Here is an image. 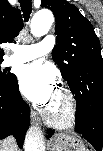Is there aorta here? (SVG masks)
Listing matches in <instances>:
<instances>
[{"mask_svg":"<svg viewBox=\"0 0 103 151\" xmlns=\"http://www.w3.org/2000/svg\"><path fill=\"white\" fill-rule=\"evenodd\" d=\"M54 21L53 14L48 9L39 10L32 18L30 31L34 36H43L51 28ZM24 151H44L43 146L32 136H27Z\"/></svg>","mask_w":103,"mask_h":151,"instance_id":"aorta-1","label":"aorta"}]
</instances>
